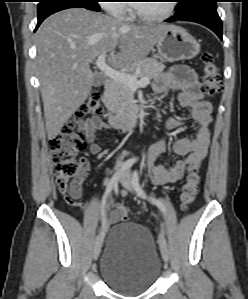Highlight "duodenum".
Returning a JSON list of instances; mask_svg holds the SVG:
<instances>
[{"label":"duodenum","instance_id":"410a0bca","mask_svg":"<svg viewBox=\"0 0 248 299\" xmlns=\"http://www.w3.org/2000/svg\"><path fill=\"white\" fill-rule=\"evenodd\" d=\"M114 82L112 80H106L104 83V98L108 100L114 91ZM144 110L141 106L135 107L128 113L118 114L113 111H109L106 114L107 121L115 127L132 128L143 117Z\"/></svg>","mask_w":248,"mask_h":299}]
</instances>
